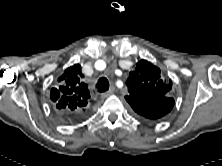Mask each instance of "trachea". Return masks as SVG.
<instances>
[{
	"label": "trachea",
	"instance_id": "trachea-1",
	"mask_svg": "<svg viewBox=\"0 0 222 166\" xmlns=\"http://www.w3.org/2000/svg\"><path fill=\"white\" fill-rule=\"evenodd\" d=\"M97 89L99 92H105L109 89V81L105 77L98 80Z\"/></svg>",
	"mask_w": 222,
	"mask_h": 166
}]
</instances>
